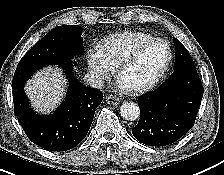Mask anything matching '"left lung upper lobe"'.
<instances>
[{
  "label": "left lung upper lobe",
  "mask_w": 224,
  "mask_h": 175,
  "mask_svg": "<svg viewBox=\"0 0 224 175\" xmlns=\"http://www.w3.org/2000/svg\"><path fill=\"white\" fill-rule=\"evenodd\" d=\"M173 41L176 50L174 69L180 66L194 65L188 50L182 45V43L175 37H173Z\"/></svg>",
  "instance_id": "1"
}]
</instances>
